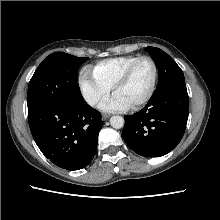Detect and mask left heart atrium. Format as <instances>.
<instances>
[{
	"label": "left heart atrium",
	"mask_w": 220,
	"mask_h": 220,
	"mask_svg": "<svg viewBox=\"0 0 220 220\" xmlns=\"http://www.w3.org/2000/svg\"><path fill=\"white\" fill-rule=\"evenodd\" d=\"M129 107L130 105L116 93L100 104V109L107 112L124 111Z\"/></svg>",
	"instance_id": "left-heart-atrium-1"
}]
</instances>
